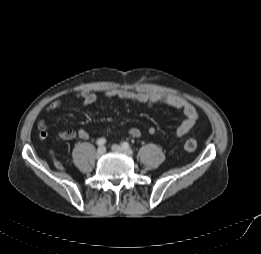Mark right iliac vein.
I'll use <instances>...</instances> for the list:
<instances>
[{"mask_svg": "<svg viewBox=\"0 0 261 254\" xmlns=\"http://www.w3.org/2000/svg\"><path fill=\"white\" fill-rule=\"evenodd\" d=\"M106 152L105 147L101 146L98 148L97 152H96V158L100 159Z\"/></svg>", "mask_w": 261, "mask_h": 254, "instance_id": "obj_1", "label": "right iliac vein"}]
</instances>
